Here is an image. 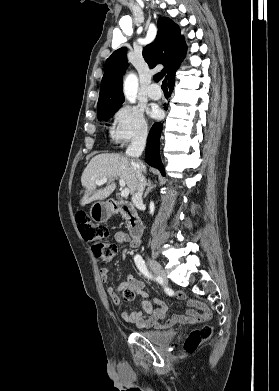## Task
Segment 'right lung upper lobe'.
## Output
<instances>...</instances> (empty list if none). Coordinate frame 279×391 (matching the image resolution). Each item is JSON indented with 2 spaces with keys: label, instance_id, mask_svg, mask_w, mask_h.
<instances>
[{
  "label": "right lung upper lobe",
  "instance_id": "cb5924a9",
  "mask_svg": "<svg viewBox=\"0 0 279 391\" xmlns=\"http://www.w3.org/2000/svg\"><path fill=\"white\" fill-rule=\"evenodd\" d=\"M158 33L153 43L143 49V57L150 68L162 64L164 69L154 76L160 79L168 77L169 84L175 80V72L185 57L186 45L180 28L169 18H159ZM128 67L126 48L112 53L106 60L98 99V113L113 107H120L124 102L122 76Z\"/></svg>",
  "mask_w": 279,
  "mask_h": 391
}]
</instances>
